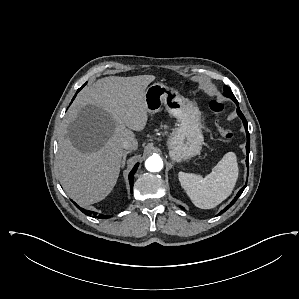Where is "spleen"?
Instances as JSON below:
<instances>
[{
  "label": "spleen",
  "mask_w": 299,
  "mask_h": 299,
  "mask_svg": "<svg viewBox=\"0 0 299 299\" xmlns=\"http://www.w3.org/2000/svg\"><path fill=\"white\" fill-rule=\"evenodd\" d=\"M238 175L236 155L228 152L205 177L179 172L178 178L195 206L201 209H212L231 195Z\"/></svg>",
  "instance_id": "obj_1"
}]
</instances>
